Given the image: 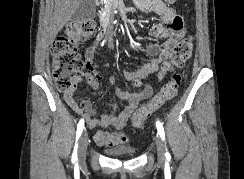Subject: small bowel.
Wrapping results in <instances>:
<instances>
[{"mask_svg": "<svg viewBox=\"0 0 244 179\" xmlns=\"http://www.w3.org/2000/svg\"><path fill=\"white\" fill-rule=\"evenodd\" d=\"M135 6L141 12H150L158 15L162 21L151 25L150 36L164 39L162 43H151L146 46L145 52L150 60L136 70H126L123 75L126 80H141L156 73L157 79L161 80L165 74L164 62L169 58L172 48L183 36L182 17L167 3L162 0H137ZM102 45V39L96 38L85 50V58L88 61V68L96 79L100 74L95 70L92 60ZM115 85L116 77L113 75L109 80ZM77 84L63 93L66 104L78 115L85 118L90 128L102 125L105 128H114L118 132L97 131L94 139L101 146H115L124 144L128 137L121 130L126 126L127 121L139 103L152 95V87L146 84L138 92H129L119 87L115 88L117 98L127 101V105L119 114H102L100 119L93 118L94 111L91 103L87 100L78 99L75 96Z\"/></svg>", "mask_w": 244, "mask_h": 179, "instance_id": "1", "label": "small bowel"}]
</instances>
